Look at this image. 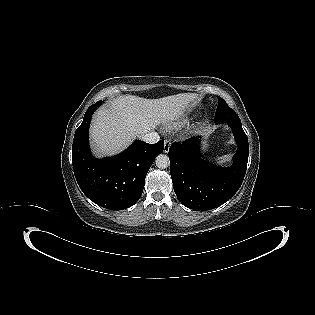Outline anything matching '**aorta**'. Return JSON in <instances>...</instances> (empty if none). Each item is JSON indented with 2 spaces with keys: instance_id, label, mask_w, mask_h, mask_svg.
I'll return each mask as SVG.
<instances>
[{
  "instance_id": "obj_1",
  "label": "aorta",
  "mask_w": 315,
  "mask_h": 315,
  "mask_svg": "<svg viewBox=\"0 0 315 315\" xmlns=\"http://www.w3.org/2000/svg\"><path fill=\"white\" fill-rule=\"evenodd\" d=\"M156 166L160 169H166L169 166V158L165 154H160L155 160Z\"/></svg>"
}]
</instances>
